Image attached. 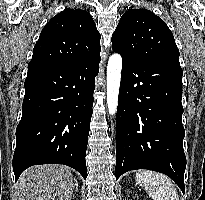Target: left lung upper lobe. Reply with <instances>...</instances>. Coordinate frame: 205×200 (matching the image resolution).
<instances>
[{
  "label": "left lung upper lobe",
  "mask_w": 205,
  "mask_h": 200,
  "mask_svg": "<svg viewBox=\"0 0 205 200\" xmlns=\"http://www.w3.org/2000/svg\"><path fill=\"white\" fill-rule=\"evenodd\" d=\"M112 48L123 59L132 62L179 57V50L168 26L146 9H129L122 15L112 35Z\"/></svg>",
  "instance_id": "obj_1"
}]
</instances>
